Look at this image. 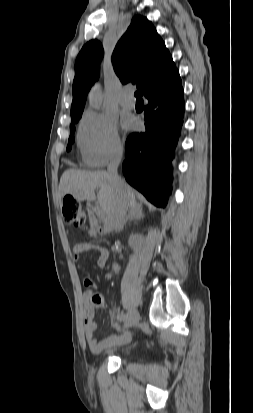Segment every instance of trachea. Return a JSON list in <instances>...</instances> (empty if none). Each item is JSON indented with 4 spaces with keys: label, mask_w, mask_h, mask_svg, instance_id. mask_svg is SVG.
<instances>
[{
    "label": "trachea",
    "mask_w": 253,
    "mask_h": 413,
    "mask_svg": "<svg viewBox=\"0 0 253 413\" xmlns=\"http://www.w3.org/2000/svg\"><path fill=\"white\" fill-rule=\"evenodd\" d=\"M142 96V92L141 90H138L135 92V97H137L138 99Z\"/></svg>",
    "instance_id": "1"
}]
</instances>
